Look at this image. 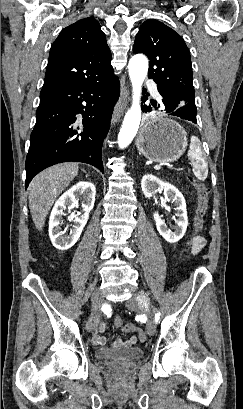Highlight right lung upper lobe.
<instances>
[{
    "label": "right lung upper lobe",
    "instance_id": "obj_1",
    "mask_svg": "<svg viewBox=\"0 0 243 409\" xmlns=\"http://www.w3.org/2000/svg\"><path fill=\"white\" fill-rule=\"evenodd\" d=\"M113 71L111 52L93 17L63 29L53 43L42 90L87 83Z\"/></svg>",
    "mask_w": 243,
    "mask_h": 409
}]
</instances>
